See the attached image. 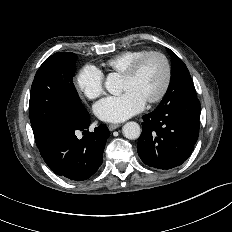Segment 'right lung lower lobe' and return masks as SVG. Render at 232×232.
Returning a JSON list of instances; mask_svg holds the SVG:
<instances>
[{
    "label": "right lung lower lobe",
    "instance_id": "obj_1",
    "mask_svg": "<svg viewBox=\"0 0 232 232\" xmlns=\"http://www.w3.org/2000/svg\"><path fill=\"white\" fill-rule=\"evenodd\" d=\"M88 111L82 117L61 116L52 125L43 142L38 146L48 167L57 175L74 181L90 178L103 160V151L110 132L101 124L89 132ZM83 131V138L75 135Z\"/></svg>",
    "mask_w": 232,
    "mask_h": 232
}]
</instances>
